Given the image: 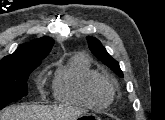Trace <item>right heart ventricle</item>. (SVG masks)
Listing matches in <instances>:
<instances>
[{
  "label": "right heart ventricle",
  "instance_id": "obj_1",
  "mask_svg": "<svg viewBox=\"0 0 165 120\" xmlns=\"http://www.w3.org/2000/svg\"><path fill=\"white\" fill-rule=\"evenodd\" d=\"M53 90L59 101L102 108L113 99L110 82L82 54L73 55L55 74Z\"/></svg>",
  "mask_w": 165,
  "mask_h": 120
}]
</instances>
